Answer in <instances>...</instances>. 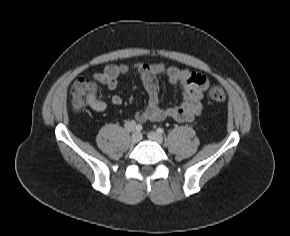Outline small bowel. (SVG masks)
Returning a JSON list of instances; mask_svg holds the SVG:
<instances>
[{
  "label": "small bowel",
  "mask_w": 290,
  "mask_h": 236,
  "mask_svg": "<svg viewBox=\"0 0 290 236\" xmlns=\"http://www.w3.org/2000/svg\"><path fill=\"white\" fill-rule=\"evenodd\" d=\"M132 71L141 76L148 94L146 107L135 114L137 122L163 121L167 118L183 122L192 121L201 113L204 92L209 81L204 75L192 72L187 68L168 65L163 62H137L132 65L109 64L102 71L95 72L93 79L108 89L115 90L118 86L119 77ZM159 76H165L171 85L178 86L181 89L183 102L180 106L169 108L160 106L159 84L157 81ZM110 101L114 105H121L123 99L120 95L114 94L111 96ZM90 106L95 111L103 112L107 108V103L96 98Z\"/></svg>",
  "instance_id": "obj_1"
}]
</instances>
